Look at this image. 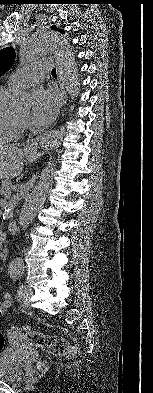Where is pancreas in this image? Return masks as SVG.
Listing matches in <instances>:
<instances>
[{"instance_id":"cf45deb5","label":"pancreas","mask_w":153,"mask_h":393,"mask_svg":"<svg viewBox=\"0 0 153 393\" xmlns=\"http://www.w3.org/2000/svg\"><path fill=\"white\" fill-rule=\"evenodd\" d=\"M12 182L9 179L1 180L0 182V195H6L9 193Z\"/></svg>"}]
</instances>
